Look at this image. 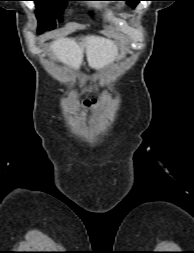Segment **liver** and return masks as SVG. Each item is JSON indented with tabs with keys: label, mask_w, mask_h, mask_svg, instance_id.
I'll return each mask as SVG.
<instances>
[{
	"label": "liver",
	"mask_w": 194,
	"mask_h": 253,
	"mask_svg": "<svg viewBox=\"0 0 194 253\" xmlns=\"http://www.w3.org/2000/svg\"><path fill=\"white\" fill-rule=\"evenodd\" d=\"M52 55L60 62L78 69L83 62L84 52L91 68L101 69L117 59L118 49L110 39L89 35L80 41L61 37L52 42Z\"/></svg>",
	"instance_id": "1"
}]
</instances>
